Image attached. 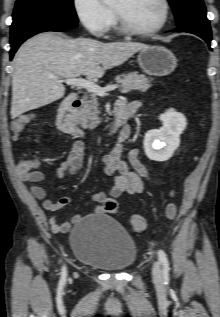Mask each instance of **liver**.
<instances>
[{
    "label": "liver",
    "mask_w": 220,
    "mask_h": 317,
    "mask_svg": "<svg viewBox=\"0 0 220 317\" xmlns=\"http://www.w3.org/2000/svg\"><path fill=\"white\" fill-rule=\"evenodd\" d=\"M146 47L136 42L69 39L51 32L32 37L18 49L13 59L12 119L64 96L62 82L51 75L101 78L107 69L123 64Z\"/></svg>",
    "instance_id": "6515ba94"
}]
</instances>
